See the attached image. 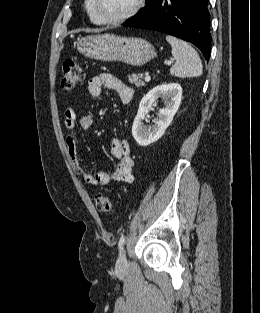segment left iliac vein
Masks as SVG:
<instances>
[{"mask_svg":"<svg viewBox=\"0 0 260 313\" xmlns=\"http://www.w3.org/2000/svg\"><path fill=\"white\" fill-rule=\"evenodd\" d=\"M126 265H127L126 253L125 250L122 249L116 262V268L120 270L125 268Z\"/></svg>","mask_w":260,"mask_h":313,"instance_id":"obj_1","label":"left iliac vein"}]
</instances>
